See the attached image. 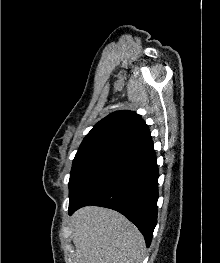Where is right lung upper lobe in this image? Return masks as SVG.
I'll return each instance as SVG.
<instances>
[{"mask_svg": "<svg viewBox=\"0 0 220 263\" xmlns=\"http://www.w3.org/2000/svg\"><path fill=\"white\" fill-rule=\"evenodd\" d=\"M151 138L141 116L132 111H117L99 121L86 135L78 151L113 150L120 152Z\"/></svg>", "mask_w": 220, "mask_h": 263, "instance_id": "obj_1", "label": "right lung upper lobe"}]
</instances>
